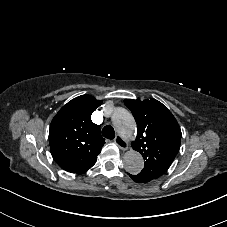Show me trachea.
Returning a JSON list of instances; mask_svg holds the SVG:
<instances>
[{
	"label": "trachea",
	"mask_w": 227,
	"mask_h": 227,
	"mask_svg": "<svg viewBox=\"0 0 227 227\" xmlns=\"http://www.w3.org/2000/svg\"><path fill=\"white\" fill-rule=\"evenodd\" d=\"M102 135L107 139H114L115 137V131L112 126H105L102 129Z\"/></svg>",
	"instance_id": "1"
}]
</instances>
